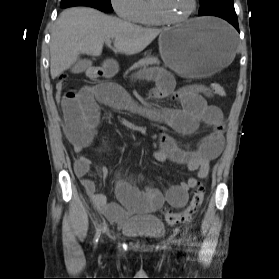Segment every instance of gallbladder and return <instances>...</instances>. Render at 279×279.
<instances>
[{
    "label": "gallbladder",
    "mask_w": 279,
    "mask_h": 279,
    "mask_svg": "<svg viewBox=\"0 0 279 279\" xmlns=\"http://www.w3.org/2000/svg\"><path fill=\"white\" fill-rule=\"evenodd\" d=\"M91 63L88 60H79L77 61L71 71L72 73L78 74L84 72L88 67H90Z\"/></svg>",
    "instance_id": "1"
}]
</instances>
